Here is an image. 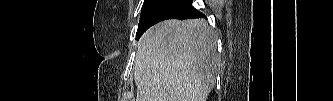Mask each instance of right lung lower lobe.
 <instances>
[{"label": "right lung lower lobe", "mask_w": 333, "mask_h": 101, "mask_svg": "<svg viewBox=\"0 0 333 101\" xmlns=\"http://www.w3.org/2000/svg\"><path fill=\"white\" fill-rule=\"evenodd\" d=\"M204 15L192 7V0H150L143 4L136 34L139 39L152 25L166 19L199 18Z\"/></svg>", "instance_id": "obj_1"}]
</instances>
